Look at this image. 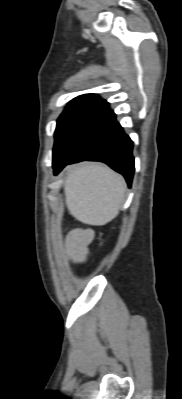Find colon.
I'll return each instance as SVG.
<instances>
[{"mask_svg":"<svg viewBox=\"0 0 182 399\" xmlns=\"http://www.w3.org/2000/svg\"><path fill=\"white\" fill-rule=\"evenodd\" d=\"M98 245L100 247L102 246V234L101 233L98 235Z\"/></svg>","mask_w":182,"mask_h":399,"instance_id":"colon-1","label":"colon"}]
</instances>
